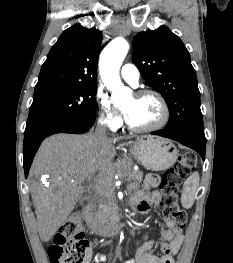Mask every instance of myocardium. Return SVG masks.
I'll return each instance as SVG.
<instances>
[{
    "instance_id": "f54148a6",
    "label": "myocardium",
    "mask_w": 233,
    "mask_h": 263,
    "mask_svg": "<svg viewBox=\"0 0 233 263\" xmlns=\"http://www.w3.org/2000/svg\"><path fill=\"white\" fill-rule=\"evenodd\" d=\"M148 96L154 97L158 101L162 109V116L157 123L150 125V126H146V127H136V126L131 125L129 122H127L128 129L133 132L149 133V132L157 131L163 128L164 126H166L167 123L169 122L170 109H169V106L165 98L159 92L154 91V90H141L135 93L136 98H144Z\"/></svg>"
}]
</instances>
